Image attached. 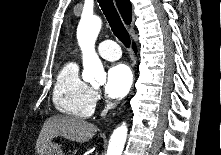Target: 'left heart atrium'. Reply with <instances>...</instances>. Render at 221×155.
<instances>
[{
  "mask_svg": "<svg viewBox=\"0 0 221 155\" xmlns=\"http://www.w3.org/2000/svg\"><path fill=\"white\" fill-rule=\"evenodd\" d=\"M132 85V73L125 64L112 66L107 73L106 94L113 99H121L127 95Z\"/></svg>",
  "mask_w": 221,
  "mask_h": 155,
  "instance_id": "left-heart-atrium-1",
  "label": "left heart atrium"
}]
</instances>
